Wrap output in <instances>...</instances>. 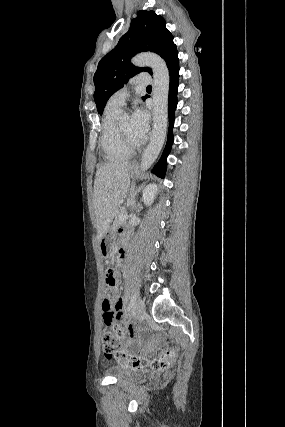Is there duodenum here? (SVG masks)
Wrapping results in <instances>:
<instances>
[{
    "instance_id": "obj_1",
    "label": "duodenum",
    "mask_w": 285,
    "mask_h": 427,
    "mask_svg": "<svg viewBox=\"0 0 285 427\" xmlns=\"http://www.w3.org/2000/svg\"><path fill=\"white\" fill-rule=\"evenodd\" d=\"M128 252V244L123 242L118 247V254L120 258H124L126 253Z\"/></svg>"
}]
</instances>
